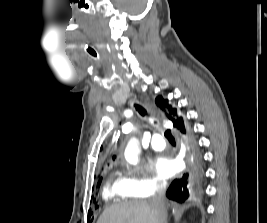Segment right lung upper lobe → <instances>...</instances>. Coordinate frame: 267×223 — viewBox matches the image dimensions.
I'll use <instances>...</instances> for the list:
<instances>
[{"mask_svg":"<svg viewBox=\"0 0 267 223\" xmlns=\"http://www.w3.org/2000/svg\"><path fill=\"white\" fill-rule=\"evenodd\" d=\"M158 107L164 111H168L166 114L168 119L172 121L174 128L179 131H182L185 127V122L180 113L177 112L176 108H173L168 104V100L163 99L161 96H158L155 100Z\"/></svg>","mask_w":267,"mask_h":223,"instance_id":"cb5924a9","label":"right lung upper lobe"}]
</instances>
